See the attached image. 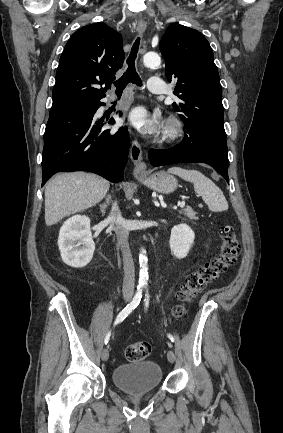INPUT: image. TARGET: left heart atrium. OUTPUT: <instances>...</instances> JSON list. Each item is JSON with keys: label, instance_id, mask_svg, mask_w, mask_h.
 Masks as SVG:
<instances>
[{"label": "left heart atrium", "instance_id": "39dd6f15", "mask_svg": "<svg viewBox=\"0 0 283 433\" xmlns=\"http://www.w3.org/2000/svg\"><path fill=\"white\" fill-rule=\"evenodd\" d=\"M130 122L137 131L146 137L156 135L161 127L158 118H151L145 108L138 106L130 112Z\"/></svg>", "mask_w": 283, "mask_h": 433}]
</instances>
